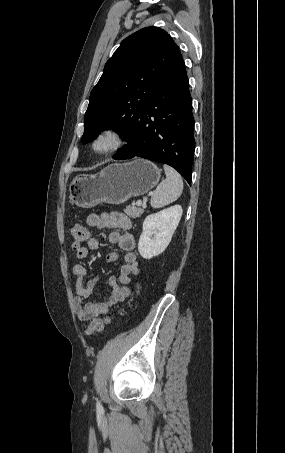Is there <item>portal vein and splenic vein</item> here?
<instances>
[{
    "mask_svg": "<svg viewBox=\"0 0 285 453\" xmlns=\"http://www.w3.org/2000/svg\"><path fill=\"white\" fill-rule=\"evenodd\" d=\"M136 205H137V206H141V205H142V201H141V200H138V201L136 202Z\"/></svg>",
    "mask_w": 285,
    "mask_h": 453,
    "instance_id": "18ae733b",
    "label": "portal vein and splenic vein"
}]
</instances>
